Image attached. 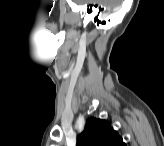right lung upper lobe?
<instances>
[{
    "instance_id": "cb5924a9",
    "label": "right lung upper lobe",
    "mask_w": 164,
    "mask_h": 146,
    "mask_svg": "<svg viewBox=\"0 0 164 146\" xmlns=\"http://www.w3.org/2000/svg\"><path fill=\"white\" fill-rule=\"evenodd\" d=\"M122 138L101 119L91 117L87 120L84 131L77 137V146H124Z\"/></svg>"
}]
</instances>
